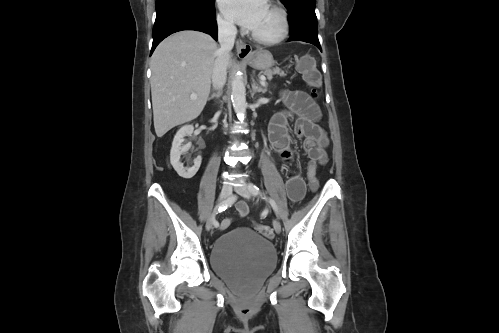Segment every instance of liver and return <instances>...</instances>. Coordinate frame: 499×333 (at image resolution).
<instances>
[{
	"instance_id": "obj_1",
	"label": "liver",
	"mask_w": 499,
	"mask_h": 333,
	"mask_svg": "<svg viewBox=\"0 0 499 333\" xmlns=\"http://www.w3.org/2000/svg\"><path fill=\"white\" fill-rule=\"evenodd\" d=\"M217 51L212 37L193 30L174 33L158 45L151 58L150 79L157 137L196 119L203 111ZM193 93L196 99H191Z\"/></svg>"
}]
</instances>
